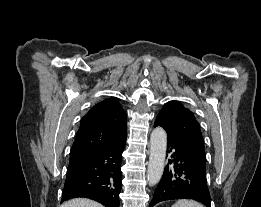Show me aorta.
<instances>
[{"instance_id": "1", "label": "aorta", "mask_w": 261, "mask_h": 207, "mask_svg": "<svg viewBox=\"0 0 261 207\" xmlns=\"http://www.w3.org/2000/svg\"><path fill=\"white\" fill-rule=\"evenodd\" d=\"M167 134L161 127L155 128L150 137V156L147 169V181L156 185L163 174L166 157Z\"/></svg>"}]
</instances>
